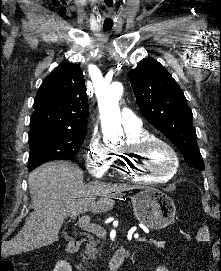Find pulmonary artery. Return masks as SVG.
<instances>
[{"instance_id": "1", "label": "pulmonary artery", "mask_w": 221, "mask_h": 271, "mask_svg": "<svg viewBox=\"0 0 221 271\" xmlns=\"http://www.w3.org/2000/svg\"><path fill=\"white\" fill-rule=\"evenodd\" d=\"M127 111V108H124ZM122 122L120 127H141L139 117H136V112H121ZM140 128H127V133H140Z\"/></svg>"}]
</instances>
